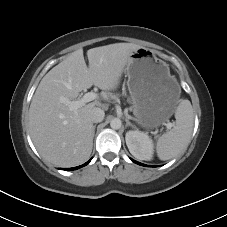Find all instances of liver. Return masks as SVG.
Instances as JSON below:
<instances>
[{
    "label": "liver",
    "instance_id": "1",
    "mask_svg": "<svg viewBox=\"0 0 227 227\" xmlns=\"http://www.w3.org/2000/svg\"><path fill=\"white\" fill-rule=\"evenodd\" d=\"M139 48L133 43H115L89 49V67L79 49L42 78L29 108V132L45 160L59 167H72L90 157L91 111L101 104L94 101L73 111L62 99L74 100L93 85L105 91V99L114 98L109 91L118 87L130 54Z\"/></svg>",
    "mask_w": 227,
    "mask_h": 227
}]
</instances>
